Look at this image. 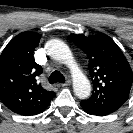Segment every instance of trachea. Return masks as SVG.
<instances>
[{
	"label": "trachea",
	"instance_id": "1",
	"mask_svg": "<svg viewBox=\"0 0 133 133\" xmlns=\"http://www.w3.org/2000/svg\"><path fill=\"white\" fill-rule=\"evenodd\" d=\"M49 82L50 84L57 83V82L64 83L65 78L59 71H54L49 77Z\"/></svg>",
	"mask_w": 133,
	"mask_h": 133
}]
</instances>
